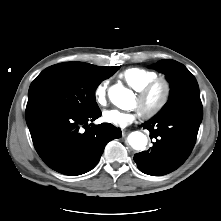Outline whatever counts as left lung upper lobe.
Listing matches in <instances>:
<instances>
[{
    "instance_id": "5c2ea615",
    "label": "left lung upper lobe",
    "mask_w": 221,
    "mask_h": 221,
    "mask_svg": "<svg viewBox=\"0 0 221 221\" xmlns=\"http://www.w3.org/2000/svg\"><path fill=\"white\" fill-rule=\"evenodd\" d=\"M150 68L166 75L170 83V97L161 111L153 118L161 117L177 110L188 109L190 105L201 103L199 86L194 75L181 63L164 59Z\"/></svg>"
}]
</instances>
